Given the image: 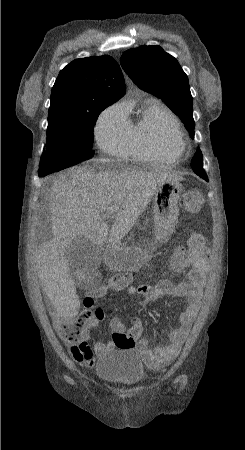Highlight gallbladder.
<instances>
[{
	"label": "gallbladder",
	"instance_id": "gallbladder-1",
	"mask_svg": "<svg viewBox=\"0 0 245 450\" xmlns=\"http://www.w3.org/2000/svg\"><path fill=\"white\" fill-rule=\"evenodd\" d=\"M66 256L69 260L70 274L76 283L81 273H91L99 266L102 259L101 249L84 237L70 243L66 249Z\"/></svg>",
	"mask_w": 245,
	"mask_h": 450
}]
</instances>
